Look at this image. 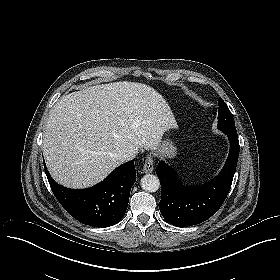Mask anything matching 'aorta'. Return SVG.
<instances>
[{"mask_svg": "<svg viewBox=\"0 0 280 280\" xmlns=\"http://www.w3.org/2000/svg\"><path fill=\"white\" fill-rule=\"evenodd\" d=\"M140 185L145 191L156 192L160 187V181L157 176L146 174L141 178Z\"/></svg>", "mask_w": 280, "mask_h": 280, "instance_id": "762f6f07", "label": "aorta"}]
</instances>
